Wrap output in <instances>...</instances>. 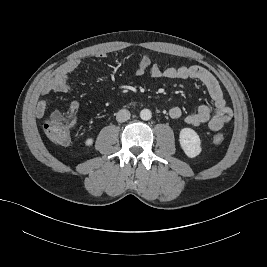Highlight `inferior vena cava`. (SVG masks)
Instances as JSON below:
<instances>
[{"instance_id":"inferior-vena-cava-1","label":"inferior vena cava","mask_w":267,"mask_h":267,"mask_svg":"<svg viewBox=\"0 0 267 267\" xmlns=\"http://www.w3.org/2000/svg\"><path fill=\"white\" fill-rule=\"evenodd\" d=\"M130 118V112L126 109H121L117 112L116 120L118 122H125Z\"/></svg>"}]
</instances>
